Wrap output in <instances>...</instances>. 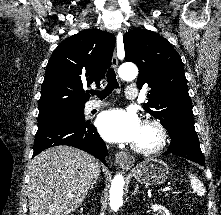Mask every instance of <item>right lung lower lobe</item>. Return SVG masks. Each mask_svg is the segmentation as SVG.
<instances>
[{
    "instance_id": "obj_1",
    "label": "right lung lower lobe",
    "mask_w": 221,
    "mask_h": 215,
    "mask_svg": "<svg viewBox=\"0 0 221 215\" xmlns=\"http://www.w3.org/2000/svg\"><path fill=\"white\" fill-rule=\"evenodd\" d=\"M57 145L82 149L106 164V145L90 120L61 121L38 126L33 157L44 149Z\"/></svg>"
}]
</instances>
